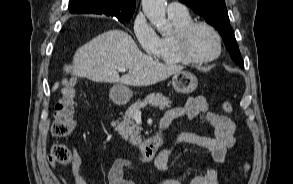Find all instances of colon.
I'll use <instances>...</instances> for the list:
<instances>
[{
    "mask_svg": "<svg viewBox=\"0 0 293 184\" xmlns=\"http://www.w3.org/2000/svg\"><path fill=\"white\" fill-rule=\"evenodd\" d=\"M70 66H67L68 71ZM62 97L58 101L54 110V119L51 127V131L54 137L60 139L67 137L75 126L74 113H75V94L74 89L69 82L64 79L62 81ZM223 110L232 114L234 108L229 101L222 103ZM71 160V152L68 147L63 143H55L50 151L49 162L55 164H67ZM249 170V165L244 166L245 175Z\"/></svg>",
    "mask_w": 293,
    "mask_h": 184,
    "instance_id": "1",
    "label": "colon"
}]
</instances>
